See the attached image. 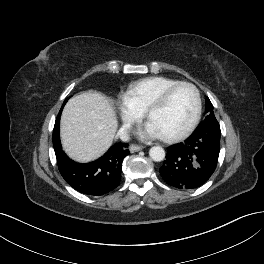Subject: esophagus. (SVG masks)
Wrapping results in <instances>:
<instances>
[{"mask_svg":"<svg viewBox=\"0 0 264 264\" xmlns=\"http://www.w3.org/2000/svg\"><path fill=\"white\" fill-rule=\"evenodd\" d=\"M129 149L131 152H138V151H141L143 149V147L139 146V145L132 144V145H130Z\"/></svg>","mask_w":264,"mask_h":264,"instance_id":"obj_1","label":"esophagus"}]
</instances>
